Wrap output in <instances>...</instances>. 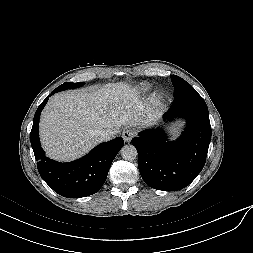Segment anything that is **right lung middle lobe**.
Segmentation results:
<instances>
[{"mask_svg": "<svg viewBox=\"0 0 253 253\" xmlns=\"http://www.w3.org/2000/svg\"><path fill=\"white\" fill-rule=\"evenodd\" d=\"M81 85H83L82 82H79V83L66 82V83H63L62 85H60L59 87H57V89H59V91H62V90H66L68 88H77Z\"/></svg>", "mask_w": 253, "mask_h": 253, "instance_id": "1", "label": "right lung middle lobe"}]
</instances>
